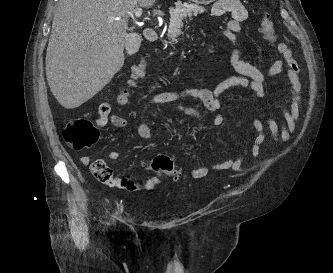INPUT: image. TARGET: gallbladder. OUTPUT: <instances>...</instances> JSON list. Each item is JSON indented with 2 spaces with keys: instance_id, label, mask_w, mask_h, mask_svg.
<instances>
[{
  "instance_id": "gallbladder-1",
  "label": "gallbladder",
  "mask_w": 333,
  "mask_h": 273,
  "mask_svg": "<svg viewBox=\"0 0 333 273\" xmlns=\"http://www.w3.org/2000/svg\"><path fill=\"white\" fill-rule=\"evenodd\" d=\"M141 39L138 34H130L126 40L125 47L129 55L135 54L140 47Z\"/></svg>"
}]
</instances>
